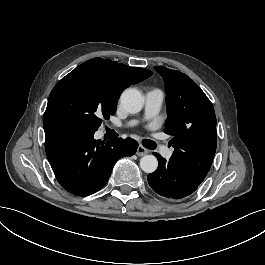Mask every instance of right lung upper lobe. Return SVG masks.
Here are the masks:
<instances>
[{
    "label": "right lung upper lobe",
    "mask_w": 265,
    "mask_h": 265,
    "mask_svg": "<svg viewBox=\"0 0 265 265\" xmlns=\"http://www.w3.org/2000/svg\"><path fill=\"white\" fill-rule=\"evenodd\" d=\"M86 62L98 65L120 91L152 75V72L147 69L130 67L109 59L93 58Z\"/></svg>",
    "instance_id": "1"
}]
</instances>
